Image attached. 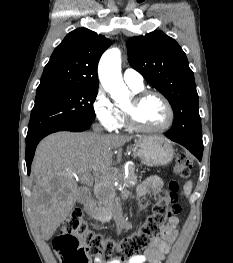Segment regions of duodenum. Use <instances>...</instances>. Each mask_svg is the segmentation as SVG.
I'll return each instance as SVG.
<instances>
[{"mask_svg": "<svg viewBox=\"0 0 233 263\" xmlns=\"http://www.w3.org/2000/svg\"><path fill=\"white\" fill-rule=\"evenodd\" d=\"M93 206H94V201L92 198H87L85 200V203H84V209L87 211V212H90L92 209H93Z\"/></svg>", "mask_w": 233, "mask_h": 263, "instance_id": "1", "label": "duodenum"}]
</instances>
